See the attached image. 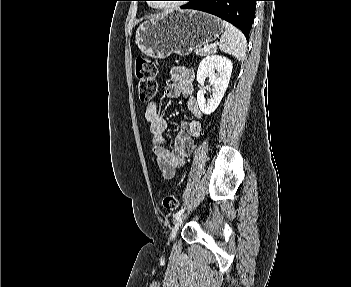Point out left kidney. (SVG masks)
Returning <instances> with one entry per match:
<instances>
[{
    "label": "left kidney",
    "mask_w": 351,
    "mask_h": 287,
    "mask_svg": "<svg viewBox=\"0 0 351 287\" xmlns=\"http://www.w3.org/2000/svg\"><path fill=\"white\" fill-rule=\"evenodd\" d=\"M232 68L231 60L221 55H208L200 62L197 71L198 83L203 84L205 79L209 77L210 85L213 87L212 95L208 101L204 98L205 92L203 90H199L197 93V102L202 113L209 115L220 104L228 87Z\"/></svg>",
    "instance_id": "obj_1"
}]
</instances>
